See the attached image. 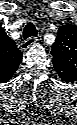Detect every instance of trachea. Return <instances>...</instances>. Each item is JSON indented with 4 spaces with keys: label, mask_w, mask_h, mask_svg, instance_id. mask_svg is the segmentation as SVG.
Returning <instances> with one entry per match:
<instances>
[{
    "label": "trachea",
    "mask_w": 77,
    "mask_h": 125,
    "mask_svg": "<svg viewBox=\"0 0 77 125\" xmlns=\"http://www.w3.org/2000/svg\"><path fill=\"white\" fill-rule=\"evenodd\" d=\"M36 36H37V29L33 23L29 22L24 28L23 38L27 39L29 37H36Z\"/></svg>",
    "instance_id": "obj_1"
}]
</instances>
